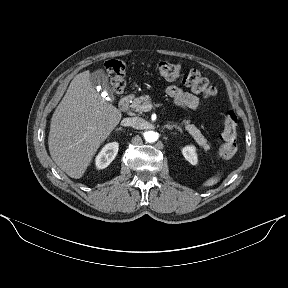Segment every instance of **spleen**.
Wrapping results in <instances>:
<instances>
[{
    "label": "spleen",
    "mask_w": 288,
    "mask_h": 288,
    "mask_svg": "<svg viewBox=\"0 0 288 288\" xmlns=\"http://www.w3.org/2000/svg\"><path fill=\"white\" fill-rule=\"evenodd\" d=\"M219 180H220L219 177H214V178H211L208 181H206V183L204 185L205 186H212V185L216 184Z\"/></svg>",
    "instance_id": "3e777b00"
}]
</instances>
